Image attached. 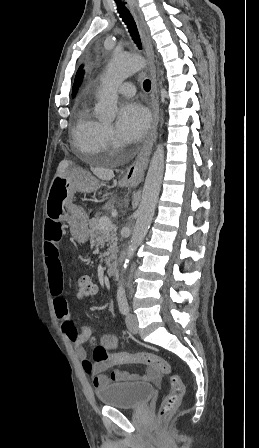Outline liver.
<instances>
[{
  "label": "liver",
  "mask_w": 259,
  "mask_h": 448,
  "mask_svg": "<svg viewBox=\"0 0 259 448\" xmlns=\"http://www.w3.org/2000/svg\"><path fill=\"white\" fill-rule=\"evenodd\" d=\"M66 168H68V162H63V164H60L57 170V174H60V176H64Z\"/></svg>",
  "instance_id": "liver-1"
}]
</instances>
